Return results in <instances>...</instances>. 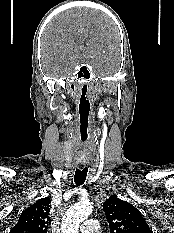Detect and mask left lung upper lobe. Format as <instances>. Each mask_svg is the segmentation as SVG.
Masks as SVG:
<instances>
[{
	"instance_id": "obj_1",
	"label": "left lung upper lobe",
	"mask_w": 174,
	"mask_h": 233,
	"mask_svg": "<svg viewBox=\"0 0 174 233\" xmlns=\"http://www.w3.org/2000/svg\"><path fill=\"white\" fill-rule=\"evenodd\" d=\"M103 209L110 233H152L140 211L115 195L104 202Z\"/></svg>"
}]
</instances>
